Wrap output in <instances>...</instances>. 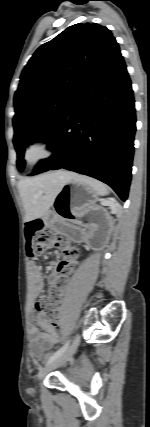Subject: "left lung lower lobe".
Masks as SVG:
<instances>
[{
	"instance_id": "1",
	"label": "left lung lower lobe",
	"mask_w": 150,
	"mask_h": 427,
	"mask_svg": "<svg viewBox=\"0 0 150 427\" xmlns=\"http://www.w3.org/2000/svg\"><path fill=\"white\" fill-rule=\"evenodd\" d=\"M134 97L118 50L87 81L49 136L54 155L34 173L67 169L111 186L125 201L131 182L136 131Z\"/></svg>"
}]
</instances>
